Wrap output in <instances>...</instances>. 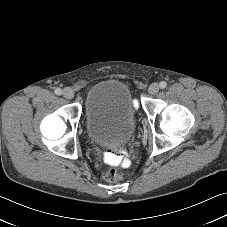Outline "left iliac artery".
<instances>
[{
	"label": "left iliac artery",
	"mask_w": 227,
	"mask_h": 227,
	"mask_svg": "<svg viewBox=\"0 0 227 227\" xmlns=\"http://www.w3.org/2000/svg\"><path fill=\"white\" fill-rule=\"evenodd\" d=\"M159 86H160L161 89H164V88H166L167 83H166L165 81H161V82L159 83Z\"/></svg>",
	"instance_id": "left-iliac-artery-1"
}]
</instances>
